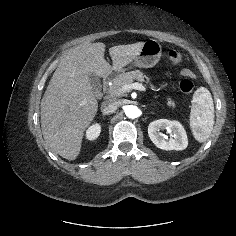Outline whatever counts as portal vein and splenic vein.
Here are the masks:
<instances>
[{
    "instance_id": "18ae733b",
    "label": "portal vein and splenic vein",
    "mask_w": 236,
    "mask_h": 236,
    "mask_svg": "<svg viewBox=\"0 0 236 236\" xmlns=\"http://www.w3.org/2000/svg\"><path fill=\"white\" fill-rule=\"evenodd\" d=\"M131 89L139 90V91H145V87L141 83H131V84H125L121 87L122 92H129Z\"/></svg>"
}]
</instances>
